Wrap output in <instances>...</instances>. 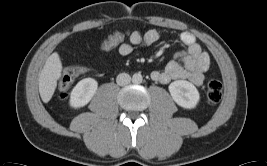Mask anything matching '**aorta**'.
I'll use <instances>...</instances> for the list:
<instances>
[{"mask_svg":"<svg viewBox=\"0 0 267 166\" xmlns=\"http://www.w3.org/2000/svg\"><path fill=\"white\" fill-rule=\"evenodd\" d=\"M143 80V77L140 73H135L133 76H132V81L133 83L135 84H140Z\"/></svg>","mask_w":267,"mask_h":166,"instance_id":"762f6f07","label":"aorta"}]
</instances>
